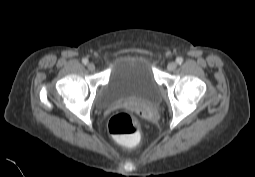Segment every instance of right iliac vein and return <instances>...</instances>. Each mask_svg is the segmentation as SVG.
<instances>
[{
    "instance_id": "obj_1",
    "label": "right iliac vein",
    "mask_w": 255,
    "mask_h": 177,
    "mask_svg": "<svg viewBox=\"0 0 255 177\" xmlns=\"http://www.w3.org/2000/svg\"><path fill=\"white\" fill-rule=\"evenodd\" d=\"M87 67H88V69H89L90 71H94V70H95V65H94L93 63H89V64L87 65Z\"/></svg>"
}]
</instances>
